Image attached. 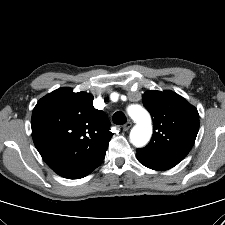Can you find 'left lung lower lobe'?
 <instances>
[{
	"instance_id": "0a47b994",
	"label": "left lung lower lobe",
	"mask_w": 225,
	"mask_h": 225,
	"mask_svg": "<svg viewBox=\"0 0 225 225\" xmlns=\"http://www.w3.org/2000/svg\"><path fill=\"white\" fill-rule=\"evenodd\" d=\"M137 158H138V157H137ZM138 160H139V162H140L141 164H143L144 166H146V167H148V168H150V169L157 170V171H162V170H160V169H158V168H155V167H153V166H151V165H148L147 163L143 162V161L140 160L139 158H138Z\"/></svg>"
}]
</instances>
